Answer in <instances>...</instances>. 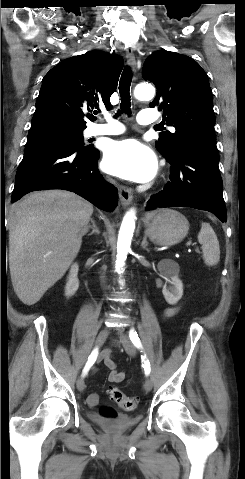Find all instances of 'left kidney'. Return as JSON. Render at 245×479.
Wrapping results in <instances>:
<instances>
[{"label": "left kidney", "instance_id": "left-kidney-1", "mask_svg": "<svg viewBox=\"0 0 245 479\" xmlns=\"http://www.w3.org/2000/svg\"><path fill=\"white\" fill-rule=\"evenodd\" d=\"M158 270L162 276L168 277L169 285L163 286V296L170 305L176 304L183 295V284L179 279V265L171 259H163L158 263Z\"/></svg>", "mask_w": 245, "mask_h": 479}]
</instances>
